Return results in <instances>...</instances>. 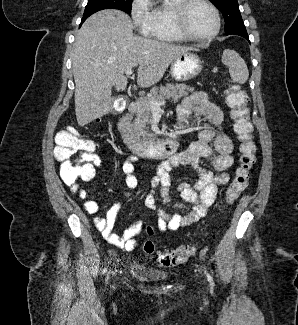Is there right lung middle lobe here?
Segmentation results:
<instances>
[{
	"instance_id": "1",
	"label": "right lung middle lobe",
	"mask_w": 298,
	"mask_h": 325,
	"mask_svg": "<svg viewBox=\"0 0 298 325\" xmlns=\"http://www.w3.org/2000/svg\"><path fill=\"white\" fill-rule=\"evenodd\" d=\"M132 0H89L82 20H86L93 13L103 9H119L128 14L131 13Z\"/></svg>"
}]
</instances>
